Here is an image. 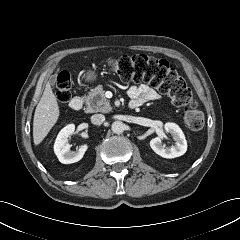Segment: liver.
Wrapping results in <instances>:
<instances>
[{
    "label": "liver",
    "mask_w": 240,
    "mask_h": 240,
    "mask_svg": "<svg viewBox=\"0 0 240 240\" xmlns=\"http://www.w3.org/2000/svg\"><path fill=\"white\" fill-rule=\"evenodd\" d=\"M59 106L49 83L35 109L33 120V140L39 145L59 118Z\"/></svg>",
    "instance_id": "liver-1"
}]
</instances>
